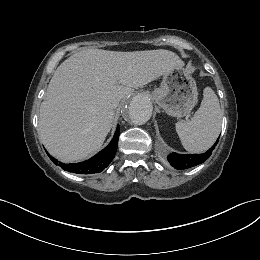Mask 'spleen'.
Instances as JSON below:
<instances>
[{
  "instance_id": "spleen-1",
  "label": "spleen",
  "mask_w": 260,
  "mask_h": 260,
  "mask_svg": "<svg viewBox=\"0 0 260 260\" xmlns=\"http://www.w3.org/2000/svg\"><path fill=\"white\" fill-rule=\"evenodd\" d=\"M222 117L217 95L210 87H206L201 105L193 117L175 124L184 148L191 153L208 150L220 133Z\"/></svg>"
}]
</instances>
